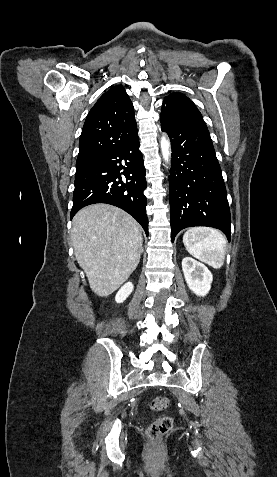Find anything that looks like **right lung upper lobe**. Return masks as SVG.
<instances>
[{
  "label": "right lung upper lobe",
  "instance_id": "obj_1",
  "mask_svg": "<svg viewBox=\"0 0 277 477\" xmlns=\"http://www.w3.org/2000/svg\"><path fill=\"white\" fill-rule=\"evenodd\" d=\"M137 134L134 107L122 86L105 92L85 120L76 167L124 144Z\"/></svg>",
  "mask_w": 277,
  "mask_h": 477
}]
</instances>
